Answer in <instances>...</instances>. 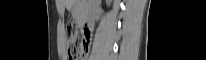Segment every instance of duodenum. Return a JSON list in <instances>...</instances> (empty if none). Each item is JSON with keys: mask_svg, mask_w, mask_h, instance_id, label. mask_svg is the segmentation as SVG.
Segmentation results:
<instances>
[{"mask_svg": "<svg viewBox=\"0 0 206 60\" xmlns=\"http://www.w3.org/2000/svg\"><path fill=\"white\" fill-rule=\"evenodd\" d=\"M89 28H90L89 22H85V23L83 24L84 33L89 34Z\"/></svg>", "mask_w": 206, "mask_h": 60, "instance_id": "obj_1", "label": "duodenum"}]
</instances>
